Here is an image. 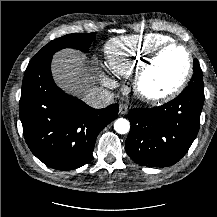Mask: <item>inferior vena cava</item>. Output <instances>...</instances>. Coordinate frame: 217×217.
<instances>
[{
  "label": "inferior vena cava",
  "instance_id": "602c4592",
  "mask_svg": "<svg viewBox=\"0 0 217 217\" xmlns=\"http://www.w3.org/2000/svg\"><path fill=\"white\" fill-rule=\"evenodd\" d=\"M83 100L89 106L100 109L114 102V93L101 87H95L87 92Z\"/></svg>",
  "mask_w": 217,
  "mask_h": 217
}]
</instances>
